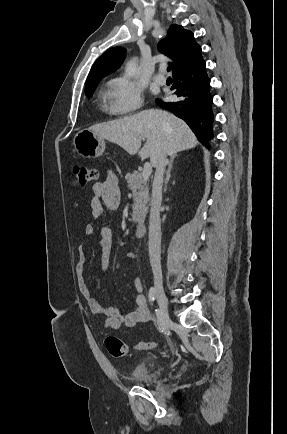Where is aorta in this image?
<instances>
[{"label":"aorta","mask_w":287,"mask_h":434,"mask_svg":"<svg viewBox=\"0 0 287 434\" xmlns=\"http://www.w3.org/2000/svg\"><path fill=\"white\" fill-rule=\"evenodd\" d=\"M139 71L137 59H132L126 64L125 75L126 77H133Z\"/></svg>","instance_id":"762f6f07"}]
</instances>
